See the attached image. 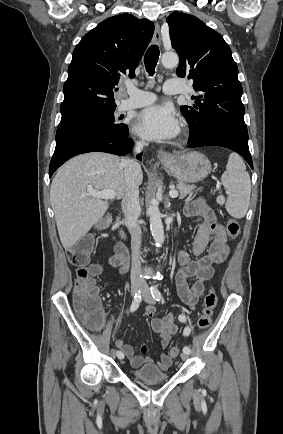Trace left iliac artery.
<instances>
[{
	"mask_svg": "<svg viewBox=\"0 0 283 434\" xmlns=\"http://www.w3.org/2000/svg\"><path fill=\"white\" fill-rule=\"evenodd\" d=\"M150 289H151V294H152L153 298H154L156 301H161V300H163V297H162L160 291L157 289L156 286H152ZM178 319H179L181 322H186V321H187V319H186V317H185L184 315H179ZM183 334H184L185 336H188V335L190 334V328H189V327H186V328L184 329V331H183ZM183 352L186 353V354H190L191 350H190V348H189L188 346H185V347L183 348Z\"/></svg>",
	"mask_w": 283,
	"mask_h": 434,
	"instance_id": "44dca946",
	"label": "left iliac artery"
}]
</instances>
